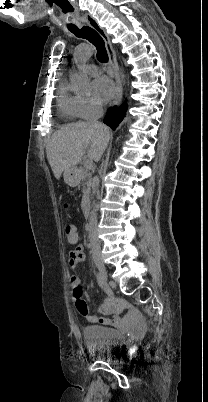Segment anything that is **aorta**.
Here are the masks:
<instances>
[{
  "instance_id": "762f6f07",
  "label": "aorta",
  "mask_w": 208,
  "mask_h": 402,
  "mask_svg": "<svg viewBox=\"0 0 208 402\" xmlns=\"http://www.w3.org/2000/svg\"><path fill=\"white\" fill-rule=\"evenodd\" d=\"M120 78L122 80V84H125V74H124L122 68H120Z\"/></svg>"
}]
</instances>
